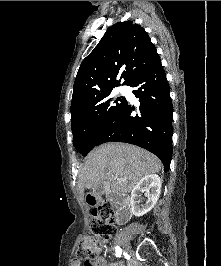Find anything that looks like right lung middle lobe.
<instances>
[{"label": "right lung middle lobe", "mask_w": 221, "mask_h": 266, "mask_svg": "<svg viewBox=\"0 0 221 266\" xmlns=\"http://www.w3.org/2000/svg\"><path fill=\"white\" fill-rule=\"evenodd\" d=\"M125 97H114L112 90L96 96L83 112L71 119L73 145L86 156L126 105Z\"/></svg>", "instance_id": "dd1d6c3e"}]
</instances>
